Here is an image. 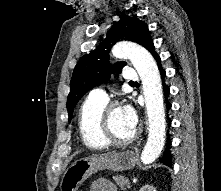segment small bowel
I'll list each match as a JSON object with an SVG mask.
<instances>
[{"instance_id": "1", "label": "small bowel", "mask_w": 221, "mask_h": 191, "mask_svg": "<svg viewBox=\"0 0 221 191\" xmlns=\"http://www.w3.org/2000/svg\"><path fill=\"white\" fill-rule=\"evenodd\" d=\"M90 191H117V188L112 182L100 179L91 184Z\"/></svg>"}]
</instances>
